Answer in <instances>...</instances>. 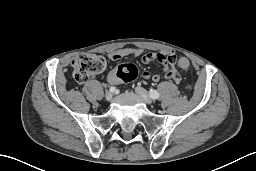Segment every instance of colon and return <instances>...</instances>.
I'll use <instances>...</instances> for the list:
<instances>
[{
  "mask_svg": "<svg viewBox=\"0 0 256 171\" xmlns=\"http://www.w3.org/2000/svg\"><path fill=\"white\" fill-rule=\"evenodd\" d=\"M176 62L182 69L189 67L187 58H178ZM105 67L106 61L102 56L93 54L78 55L72 60L73 79L77 83H84L90 75L102 72ZM116 74L119 80L128 83L135 80L140 75V71L136 65L125 63L117 67ZM184 89L189 90L190 87L186 85Z\"/></svg>",
  "mask_w": 256,
  "mask_h": 171,
  "instance_id": "colon-1",
  "label": "colon"
}]
</instances>
